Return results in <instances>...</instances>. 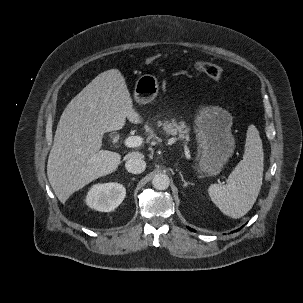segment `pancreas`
I'll list each match as a JSON object with an SVG mask.
<instances>
[{
  "label": "pancreas",
  "instance_id": "obj_1",
  "mask_svg": "<svg viewBox=\"0 0 303 303\" xmlns=\"http://www.w3.org/2000/svg\"><path fill=\"white\" fill-rule=\"evenodd\" d=\"M158 126H163V130L168 135L178 136L180 139H184L189 141V132L190 128L185 124V122L177 123L175 119H171V121L166 120L164 122L159 121Z\"/></svg>",
  "mask_w": 303,
  "mask_h": 303
}]
</instances>
